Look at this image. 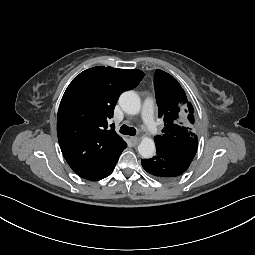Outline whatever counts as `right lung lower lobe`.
Listing matches in <instances>:
<instances>
[{
    "mask_svg": "<svg viewBox=\"0 0 255 255\" xmlns=\"http://www.w3.org/2000/svg\"><path fill=\"white\" fill-rule=\"evenodd\" d=\"M120 156V155H119ZM119 156L110 163V165H108L107 167L103 168L101 171H99L98 173H96L95 175H93L92 177L90 178H86L88 180H91V181H97V180H101L107 176H109L113 169L115 168V165L119 159Z\"/></svg>",
    "mask_w": 255,
    "mask_h": 255,
    "instance_id": "obj_1",
    "label": "right lung lower lobe"
}]
</instances>
